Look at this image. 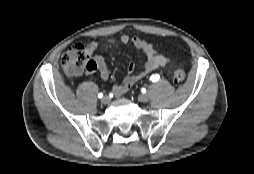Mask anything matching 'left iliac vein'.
Instances as JSON below:
<instances>
[{
  "mask_svg": "<svg viewBox=\"0 0 254 174\" xmlns=\"http://www.w3.org/2000/svg\"><path fill=\"white\" fill-rule=\"evenodd\" d=\"M139 101L141 102H148L149 101V96L147 94H140L138 97Z\"/></svg>",
  "mask_w": 254,
  "mask_h": 174,
  "instance_id": "left-iliac-vein-1",
  "label": "left iliac vein"
}]
</instances>
